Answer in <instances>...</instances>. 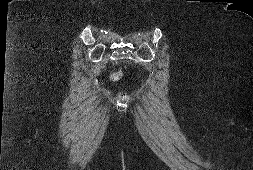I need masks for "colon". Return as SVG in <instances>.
<instances>
[{
    "label": "colon",
    "mask_w": 253,
    "mask_h": 170,
    "mask_svg": "<svg viewBox=\"0 0 253 170\" xmlns=\"http://www.w3.org/2000/svg\"><path fill=\"white\" fill-rule=\"evenodd\" d=\"M121 77L120 73H117L113 76L114 80H118Z\"/></svg>",
    "instance_id": "1"
}]
</instances>
